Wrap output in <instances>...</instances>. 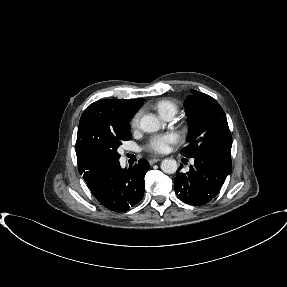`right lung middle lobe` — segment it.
<instances>
[{"label": "right lung middle lobe", "instance_id": "1", "mask_svg": "<svg viewBox=\"0 0 287 287\" xmlns=\"http://www.w3.org/2000/svg\"><path fill=\"white\" fill-rule=\"evenodd\" d=\"M131 133L130 130L125 133L115 136L109 139V141L105 145V160L106 162L112 163L118 161L120 154H118L117 149L122 144V141L130 140Z\"/></svg>", "mask_w": 287, "mask_h": 287}]
</instances>
